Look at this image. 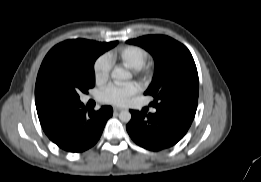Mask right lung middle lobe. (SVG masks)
Segmentation results:
<instances>
[{"instance_id":"obj_1","label":"right lung middle lobe","mask_w":261,"mask_h":182,"mask_svg":"<svg viewBox=\"0 0 261 182\" xmlns=\"http://www.w3.org/2000/svg\"><path fill=\"white\" fill-rule=\"evenodd\" d=\"M117 43L92 42L81 48L56 45L41 64L35 91L57 105L80 102L79 94L95 85V60Z\"/></svg>"}]
</instances>
